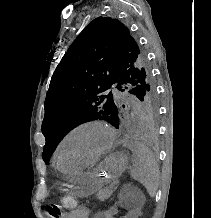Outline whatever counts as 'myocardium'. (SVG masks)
<instances>
[{
	"instance_id": "myocardium-1",
	"label": "myocardium",
	"mask_w": 211,
	"mask_h": 218,
	"mask_svg": "<svg viewBox=\"0 0 211 218\" xmlns=\"http://www.w3.org/2000/svg\"><path fill=\"white\" fill-rule=\"evenodd\" d=\"M85 128H97L101 130L106 135L107 140L105 145L102 147V149H100L98 153L90 161L79 165L78 168H86L93 165L101 157L106 155L111 150L116 138L115 132L112 129V127L108 123L100 119L85 120L72 127L68 132L65 133V135L59 141L55 150V160L57 161V163H59L60 160L61 148L64 145V143L67 141V139Z\"/></svg>"
}]
</instances>
